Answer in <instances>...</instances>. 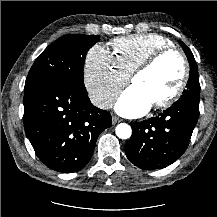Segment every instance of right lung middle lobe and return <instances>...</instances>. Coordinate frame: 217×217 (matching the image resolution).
<instances>
[{
  "instance_id": "1",
  "label": "right lung middle lobe",
  "mask_w": 217,
  "mask_h": 217,
  "mask_svg": "<svg viewBox=\"0 0 217 217\" xmlns=\"http://www.w3.org/2000/svg\"><path fill=\"white\" fill-rule=\"evenodd\" d=\"M99 36L69 34L60 37L35 60L25 82V88L52 79H61L85 89L83 61Z\"/></svg>"
}]
</instances>
